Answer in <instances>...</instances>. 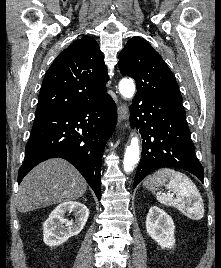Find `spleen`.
I'll use <instances>...</instances> for the list:
<instances>
[{
  "instance_id": "1",
  "label": "spleen",
  "mask_w": 221,
  "mask_h": 268,
  "mask_svg": "<svg viewBox=\"0 0 221 268\" xmlns=\"http://www.w3.org/2000/svg\"><path fill=\"white\" fill-rule=\"evenodd\" d=\"M156 175H166L170 178L168 187L176 195L157 194V200L166 206H173L188 217L199 220L204 216V204L199 190L192 180L179 171L164 168Z\"/></svg>"
}]
</instances>
